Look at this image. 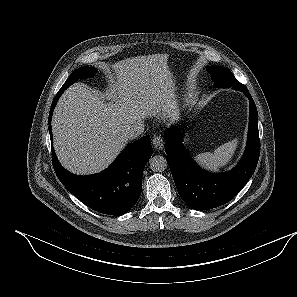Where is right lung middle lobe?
Here are the masks:
<instances>
[{
    "label": "right lung middle lobe",
    "instance_id": "obj_1",
    "mask_svg": "<svg viewBox=\"0 0 297 297\" xmlns=\"http://www.w3.org/2000/svg\"><path fill=\"white\" fill-rule=\"evenodd\" d=\"M96 70L92 67H81L75 70L69 77V79L63 84L61 88L66 90L71 84L81 78L93 77Z\"/></svg>",
    "mask_w": 297,
    "mask_h": 297
}]
</instances>
